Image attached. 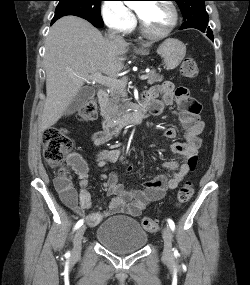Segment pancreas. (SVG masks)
I'll return each mask as SVG.
<instances>
[{
    "label": "pancreas",
    "instance_id": "obj_1",
    "mask_svg": "<svg viewBox=\"0 0 250 285\" xmlns=\"http://www.w3.org/2000/svg\"><path fill=\"white\" fill-rule=\"evenodd\" d=\"M147 76V83L150 85L163 80V76L156 73L155 70L147 73ZM129 108L130 103L127 97L126 84L110 87L108 98L101 105L102 113L107 117L117 119L127 113Z\"/></svg>",
    "mask_w": 250,
    "mask_h": 285
}]
</instances>
